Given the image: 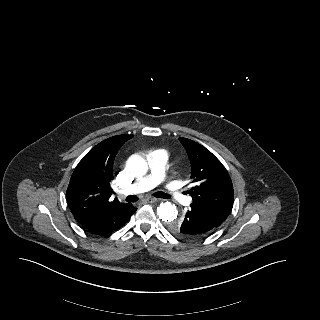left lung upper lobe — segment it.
I'll use <instances>...</instances> for the list:
<instances>
[{"label":"left lung upper lobe","instance_id":"left-lung-upper-lobe-1","mask_svg":"<svg viewBox=\"0 0 320 320\" xmlns=\"http://www.w3.org/2000/svg\"><path fill=\"white\" fill-rule=\"evenodd\" d=\"M192 164L193 187L188 191L192 197L190 209L200 213L220 226L233 206V185L222 163L204 146L187 138H179ZM174 234L182 239L194 240L181 230V221L170 224Z\"/></svg>","mask_w":320,"mask_h":320}]
</instances>
